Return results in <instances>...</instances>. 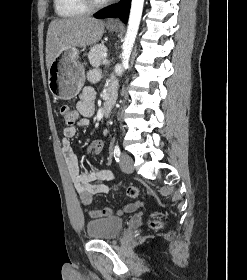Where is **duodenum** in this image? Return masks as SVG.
I'll return each mask as SVG.
<instances>
[{
	"label": "duodenum",
	"mask_w": 247,
	"mask_h": 280,
	"mask_svg": "<svg viewBox=\"0 0 247 280\" xmlns=\"http://www.w3.org/2000/svg\"><path fill=\"white\" fill-rule=\"evenodd\" d=\"M114 102H115V92L113 89H110L104 96L103 113L105 116H108L110 114Z\"/></svg>",
	"instance_id": "410a0bca"
}]
</instances>
